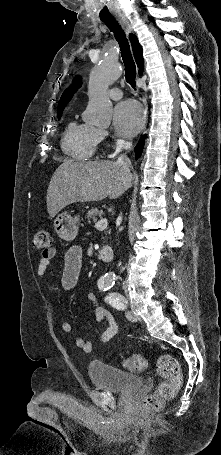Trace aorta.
<instances>
[{
  "instance_id": "1",
  "label": "aorta",
  "mask_w": 221,
  "mask_h": 455,
  "mask_svg": "<svg viewBox=\"0 0 221 455\" xmlns=\"http://www.w3.org/2000/svg\"><path fill=\"white\" fill-rule=\"evenodd\" d=\"M121 76L120 65L113 60L105 58L96 66L89 79V102L86 110L85 120L95 126L106 127L112 118V103L107 96V90L111 83ZM106 283L115 280L113 272L103 276Z\"/></svg>"
}]
</instances>
